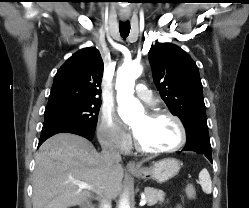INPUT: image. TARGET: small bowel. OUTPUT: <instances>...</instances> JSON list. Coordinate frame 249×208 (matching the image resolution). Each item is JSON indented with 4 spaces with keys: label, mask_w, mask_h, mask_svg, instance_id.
<instances>
[{
    "label": "small bowel",
    "mask_w": 249,
    "mask_h": 208,
    "mask_svg": "<svg viewBox=\"0 0 249 208\" xmlns=\"http://www.w3.org/2000/svg\"><path fill=\"white\" fill-rule=\"evenodd\" d=\"M176 208H182L181 206H177Z\"/></svg>",
    "instance_id": "c3829d8e"
}]
</instances>
